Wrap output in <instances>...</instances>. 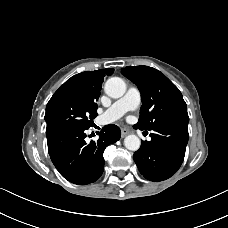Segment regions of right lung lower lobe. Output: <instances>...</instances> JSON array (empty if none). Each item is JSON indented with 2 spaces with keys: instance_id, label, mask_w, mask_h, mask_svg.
Wrapping results in <instances>:
<instances>
[{
  "instance_id": "right-lung-lower-lobe-1",
  "label": "right lung lower lobe",
  "mask_w": 228,
  "mask_h": 228,
  "mask_svg": "<svg viewBox=\"0 0 228 228\" xmlns=\"http://www.w3.org/2000/svg\"><path fill=\"white\" fill-rule=\"evenodd\" d=\"M89 128H68L47 137L50 158L59 173L68 181L86 185L95 182L104 169V149L120 139V128L107 125L98 141L86 143Z\"/></svg>"
}]
</instances>
